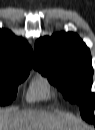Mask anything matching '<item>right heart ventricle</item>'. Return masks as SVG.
<instances>
[{"label": "right heart ventricle", "mask_w": 95, "mask_h": 130, "mask_svg": "<svg viewBox=\"0 0 95 130\" xmlns=\"http://www.w3.org/2000/svg\"><path fill=\"white\" fill-rule=\"evenodd\" d=\"M52 96L53 92L48 81L41 76L32 81L27 94L30 101L48 100Z\"/></svg>", "instance_id": "e07e8e85"}]
</instances>
